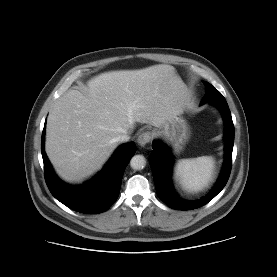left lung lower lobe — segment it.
I'll list each match as a JSON object with an SVG mask.
<instances>
[{"instance_id":"0a47b994","label":"left lung lower lobe","mask_w":277,"mask_h":277,"mask_svg":"<svg viewBox=\"0 0 277 277\" xmlns=\"http://www.w3.org/2000/svg\"><path fill=\"white\" fill-rule=\"evenodd\" d=\"M212 104L221 111L225 122V161L218 182L207 196L192 202L180 200L171 183L173 165L171 150L158 140L152 144L153 151L150 154L149 162L153 172L156 192L158 197L173 209L192 210L207 204L224 188L228 181L232 164L234 125L226 100H220Z\"/></svg>"}]
</instances>
